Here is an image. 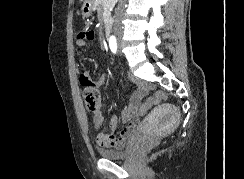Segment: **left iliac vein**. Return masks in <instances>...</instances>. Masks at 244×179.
Segmentation results:
<instances>
[{"mask_svg":"<svg viewBox=\"0 0 244 179\" xmlns=\"http://www.w3.org/2000/svg\"><path fill=\"white\" fill-rule=\"evenodd\" d=\"M118 48H119V49L121 48L120 43L118 44Z\"/></svg>","mask_w":244,"mask_h":179,"instance_id":"left-iliac-vein-1","label":"left iliac vein"}]
</instances>
